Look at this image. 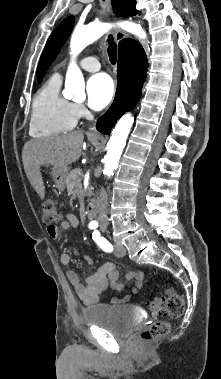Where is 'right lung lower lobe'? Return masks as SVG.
<instances>
[{
	"label": "right lung lower lobe",
	"instance_id": "1",
	"mask_svg": "<svg viewBox=\"0 0 221 379\" xmlns=\"http://www.w3.org/2000/svg\"><path fill=\"white\" fill-rule=\"evenodd\" d=\"M148 61L142 46L133 39H124L119 43L117 91L108 111L98 120L97 130L110 134L116 121L131 110L141 96L146 79Z\"/></svg>",
	"mask_w": 221,
	"mask_h": 379
}]
</instances>
